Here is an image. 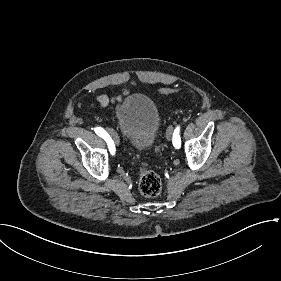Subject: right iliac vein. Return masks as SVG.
<instances>
[{"mask_svg":"<svg viewBox=\"0 0 281 281\" xmlns=\"http://www.w3.org/2000/svg\"><path fill=\"white\" fill-rule=\"evenodd\" d=\"M108 132L111 135L115 144L118 145L120 141H119V137H118L117 133L113 129H108Z\"/></svg>","mask_w":281,"mask_h":281,"instance_id":"obj_1","label":"right iliac vein"}]
</instances>
